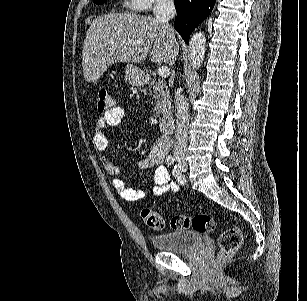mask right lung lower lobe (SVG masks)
I'll return each instance as SVG.
<instances>
[{
  "mask_svg": "<svg viewBox=\"0 0 307 301\" xmlns=\"http://www.w3.org/2000/svg\"><path fill=\"white\" fill-rule=\"evenodd\" d=\"M177 10L175 29L186 44L192 31L213 9L215 0H174Z\"/></svg>",
  "mask_w": 307,
  "mask_h": 301,
  "instance_id": "right-lung-lower-lobe-1",
  "label": "right lung lower lobe"
}]
</instances>
